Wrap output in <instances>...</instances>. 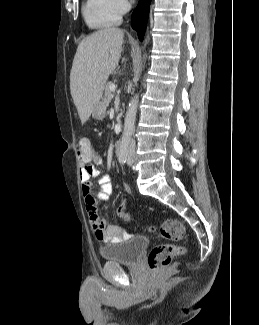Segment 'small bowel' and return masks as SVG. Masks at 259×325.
I'll return each mask as SVG.
<instances>
[{"mask_svg":"<svg viewBox=\"0 0 259 325\" xmlns=\"http://www.w3.org/2000/svg\"><path fill=\"white\" fill-rule=\"evenodd\" d=\"M102 158L94 151L92 158L88 161H80V180L82 185V195L85 202L90 224L94 230L96 238L104 243H119L130 238V233L117 224L107 223L100 217L97 205L98 202H105L112 192L111 179L108 174L99 178V189L93 194L91 179L99 177L100 172L97 166L102 165ZM124 191L131 193V189L124 184Z\"/></svg>","mask_w":259,"mask_h":325,"instance_id":"small-bowel-1","label":"small bowel"}]
</instances>
